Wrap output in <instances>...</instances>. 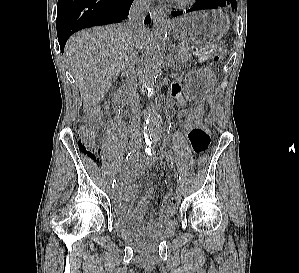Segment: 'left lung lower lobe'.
<instances>
[{
    "label": "left lung lower lobe",
    "instance_id": "obj_1",
    "mask_svg": "<svg viewBox=\"0 0 299 273\" xmlns=\"http://www.w3.org/2000/svg\"><path fill=\"white\" fill-rule=\"evenodd\" d=\"M225 6L237 10L236 0H198L192 8L187 10V12L201 9H213ZM182 13V11H173L171 14L172 16H178Z\"/></svg>",
    "mask_w": 299,
    "mask_h": 273
}]
</instances>
